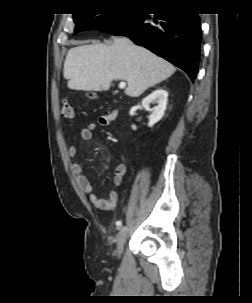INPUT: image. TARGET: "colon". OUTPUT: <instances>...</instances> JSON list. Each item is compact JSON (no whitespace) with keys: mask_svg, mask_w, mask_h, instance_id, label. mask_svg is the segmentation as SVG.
Listing matches in <instances>:
<instances>
[{"mask_svg":"<svg viewBox=\"0 0 252 303\" xmlns=\"http://www.w3.org/2000/svg\"><path fill=\"white\" fill-rule=\"evenodd\" d=\"M61 114L64 118H73L74 116V107L73 103L70 100H64Z\"/></svg>","mask_w":252,"mask_h":303,"instance_id":"obj_1","label":"colon"}]
</instances>
